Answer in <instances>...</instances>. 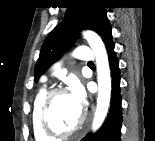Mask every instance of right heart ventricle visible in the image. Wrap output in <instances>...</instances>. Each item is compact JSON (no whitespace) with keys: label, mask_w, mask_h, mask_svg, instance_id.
I'll return each mask as SVG.
<instances>
[{"label":"right heart ventricle","mask_w":155,"mask_h":141,"mask_svg":"<svg viewBox=\"0 0 155 141\" xmlns=\"http://www.w3.org/2000/svg\"><path fill=\"white\" fill-rule=\"evenodd\" d=\"M45 94H46V89L45 88L40 89L35 97L34 104H33L31 122H32L34 137L37 141H48L52 139L42 131L39 124V108Z\"/></svg>","instance_id":"1"}]
</instances>
